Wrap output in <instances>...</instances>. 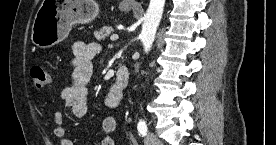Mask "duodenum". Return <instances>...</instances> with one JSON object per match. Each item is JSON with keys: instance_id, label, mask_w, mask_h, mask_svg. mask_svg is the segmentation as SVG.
Segmentation results:
<instances>
[{"instance_id": "410a0bca", "label": "duodenum", "mask_w": 276, "mask_h": 145, "mask_svg": "<svg viewBox=\"0 0 276 145\" xmlns=\"http://www.w3.org/2000/svg\"><path fill=\"white\" fill-rule=\"evenodd\" d=\"M129 70L126 66L120 65L117 69L116 79L114 82V87L118 93L123 94L125 88L129 83Z\"/></svg>"}]
</instances>
